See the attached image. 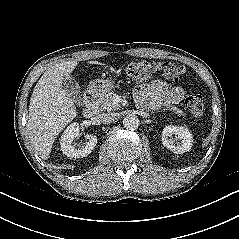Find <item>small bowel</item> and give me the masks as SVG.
Masks as SVG:
<instances>
[{
	"mask_svg": "<svg viewBox=\"0 0 239 239\" xmlns=\"http://www.w3.org/2000/svg\"><path fill=\"white\" fill-rule=\"evenodd\" d=\"M134 93L141 105L151 108L178 103L185 95L182 88L172 87L163 80L139 84L135 88Z\"/></svg>",
	"mask_w": 239,
	"mask_h": 239,
	"instance_id": "1",
	"label": "small bowel"
}]
</instances>
